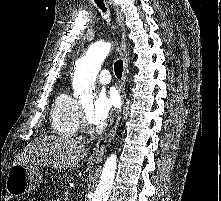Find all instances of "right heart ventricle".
<instances>
[{"label":"right heart ventricle","instance_id":"1","mask_svg":"<svg viewBox=\"0 0 221 201\" xmlns=\"http://www.w3.org/2000/svg\"><path fill=\"white\" fill-rule=\"evenodd\" d=\"M52 129L61 136L73 137L80 130V103L66 91L56 96L50 116Z\"/></svg>","mask_w":221,"mask_h":201}]
</instances>
